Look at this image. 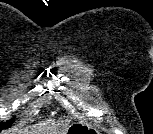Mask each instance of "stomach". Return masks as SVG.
I'll return each mask as SVG.
<instances>
[{
  "label": "stomach",
  "mask_w": 153,
  "mask_h": 134,
  "mask_svg": "<svg viewBox=\"0 0 153 134\" xmlns=\"http://www.w3.org/2000/svg\"><path fill=\"white\" fill-rule=\"evenodd\" d=\"M96 132L97 131L88 124L75 122L67 128L65 134H94Z\"/></svg>",
  "instance_id": "obj_1"
}]
</instances>
